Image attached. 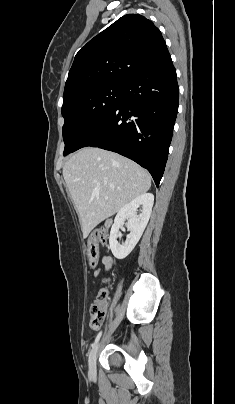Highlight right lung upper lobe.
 Listing matches in <instances>:
<instances>
[{
  "label": "right lung upper lobe",
  "mask_w": 235,
  "mask_h": 404,
  "mask_svg": "<svg viewBox=\"0 0 235 404\" xmlns=\"http://www.w3.org/2000/svg\"><path fill=\"white\" fill-rule=\"evenodd\" d=\"M169 56L152 21L139 14L124 15L78 51L65 84L63 104L103 85L124 84Z\"/></svg>",
  "instance_id": "1"
}]
</instances>
